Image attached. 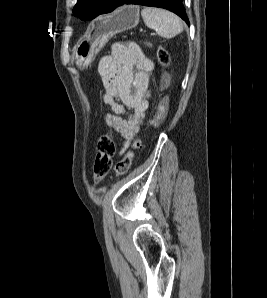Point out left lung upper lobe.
<instances>
[{
	"instance_id": "obj_1",
	"label": "left lung upper lobe",
	"mask_w": 267,
	"mask_h": 298,
	"mask_svg": "<svg viewBox=\"0 0 267 298\" xmlns=\"http://www.w3.org/2000/svg\"><path fill=\"white\" fill-rule=\"evenodd\" d=\"M116 0H78L73 14L81 20H90L113 9Z\"/></svg>"
}]
</instances>
